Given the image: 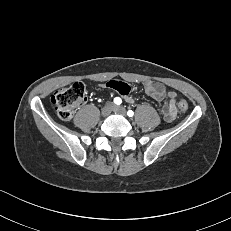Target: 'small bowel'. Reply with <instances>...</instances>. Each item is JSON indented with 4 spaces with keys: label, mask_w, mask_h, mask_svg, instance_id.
Wrapping results in <instances>:
<instances>
[{
    "label": "small bowel",
    "mask_w": 231,
    "mask_h": 231,
    "mask_svg": "<svg viewBox=\"0 0 231 231\" xmlns=\"http://www.w3.org/2000/svg\"><path fill=\"white\" fill-rule=\"evenodd\" d=\"M107 86L117 91L120 95L124 96L126 102L131 104L135 102V99L129 94L130 87L126 83L119 81H109ZM143 86L146 94L156 102H162L166 99V103L164 104L161 111L163 119L167 122L175 120L177 117L176 93L167 92L161 83L150 80L145 81Z\"/></svg>",
    "instance_id": "1"
}]
</instances>
